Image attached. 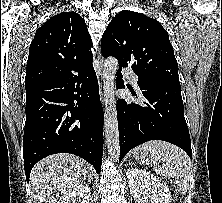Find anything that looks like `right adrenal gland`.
<instances>
[{"label":"right adrenal gland","mask_w":222,"mask_h":203,"mask_svg":"<svg viewBox=\"0 0 222 203\" xmlns=\"http://www.w3.org/2000/svg\"><path fill=\"white\" fill-rule=\"evenodd\" d=\"M90 179H91V177L89 176V177H88V181H90Z\"/></svg>","instance_id":"2a0ac1e0"}]
</instances>
